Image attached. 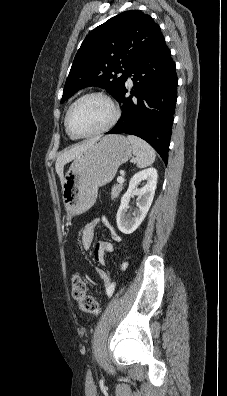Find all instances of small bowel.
<instances>
[{"label":"small bowel","instance_id":"obj_1","mask_svg":"<svg viewBox=\"0 0 227 396\" xmlns=\"http://www.w3.org/2000/svg\"><path fill=\"white\" fill-rule=\"evenodd\" d=\"M103 224L110 232V236L113 241L119 242L121 240V236L111 225L109 220L105 216H99L94 220L86 223L81 230V244L84 249H90L93 244L94 239V230L97 224ZM113 250V245L108 241H100L95 245L93 256L94 260L99 264H104V257L106 253H109ZM127 264H124V267ZM95 273L97 277L102 282L106 294L111 296L115 290V283L110 279V277L101 269H95Z\"/></svg>","mask_w":227,"mask_h":396}]
</instances>
